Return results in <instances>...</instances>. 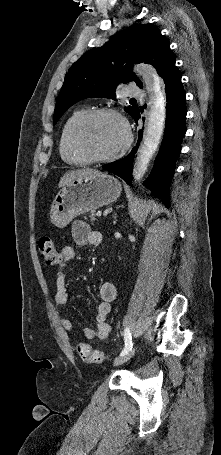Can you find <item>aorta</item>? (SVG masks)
Instances as JSON below:
<instances>
[{
    "instance_id": "762f6f07",
    "label": "aorta",
    "mask_w": 221,
    "mask_h": 455,
    "mask_svg": "<svg viewBox=\"0 0 221 455\" xmlns=\"http://www.w3.org/2000/svg\"><path fill=\"white\" fill-rule=\"evenodd\" d=\"M135 71L142 77L145 88L150 95V111L133 167L134 181L140 182L147 171L150 160L158 149L164 132L166 101L161 89V81L151 65L141 64L136 67Z\"/></svg>"
}]
</instances>
